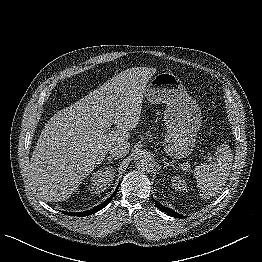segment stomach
<instances>
[{
	"label": "stomach",
	"mask_w": 262,
	"mask_h": 262,
	"mask_svg": "<svg viewBox=\"0 0 262 262\" xmlns=\"http://www.w3.org/2000/svg\"><path fill=\"white\" fill-rule=\"evenodd\" d=\"M144 95L150 103L166 104L164 151L174 158L189 156L201 126V109L179 77L171 72L159 73L146 86Z\"/></svg>",
	"instance_id": "1"
}]
</instances>
